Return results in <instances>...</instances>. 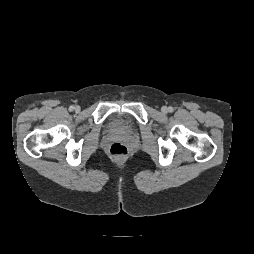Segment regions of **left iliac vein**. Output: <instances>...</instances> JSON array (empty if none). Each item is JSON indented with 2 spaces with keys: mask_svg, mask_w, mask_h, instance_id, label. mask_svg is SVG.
Here are the masks:
<instances>
[{
  "mask_svg": "<svg viewBox=\"0 0 254 254\" xmlns=\"http://www.w3.org/2000/svg\"><path fill=\"white\" fill-rule=\"evenodd\" d=\"M162 112L166 113L167 112V108L166 107H162Z\"/></svg>",
  "mask_w": 254,
  "mask_h": 254,
  "instance_id": "1",
  "label": "left iliac vein"
}]
</instances>
